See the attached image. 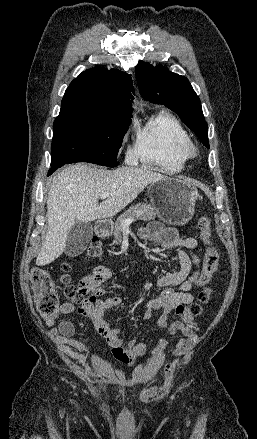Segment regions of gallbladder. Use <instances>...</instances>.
<instances>
[{
  "label": "gallbladder",
  "instance_id": "bac80fb5",
  "mask_svg": "<svg viewBox=\"0 0 257 439\" xmlns=\"http://www.w3.org/2000/svg\"><path fill=\"white\" fill-rule=\"evenodd\" d=\"M92 235L93 228L91 223L76 221L69 231L66 241L65 254L71 257L82 254L87 248Z\"/></svg>",
  "mask_w": 257,
  "mask_h": 439
}]
</instances>
